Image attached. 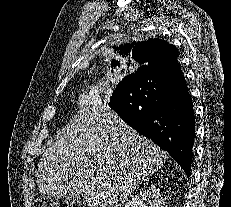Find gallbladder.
<instances>
[{
	"mask_svg": "<svg viewBox=\"0 0 231 207\" xmlns=\"http://www.w3.org/2000/svg\"><path fill=\"white\" fill-rule=\"evenodd\" d=\"M64 200L71 205L75 204L78 206H85L87 204L85 197L82 194L76 192L67 194L64 196Z\"/></svg>",
	"mask_w": 231,
	"mask_h": 207,
	"instance_id": "1",
	"label": "gallbladder"
}]
</instances>
